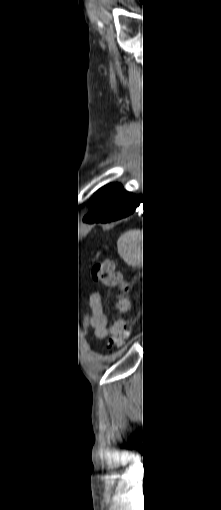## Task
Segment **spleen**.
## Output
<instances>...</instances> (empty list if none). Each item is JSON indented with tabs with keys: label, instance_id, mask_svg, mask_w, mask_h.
<instances>
[{
	"label": "spleen",
	"instance_id": "1",
	"mask_svg": "<svg viewBox=\"0 0 221 510\" xmlns=\"http://www.w3.org/2000/svg\"><path fill=\"white\" fill-rule=\"evenodd\" d=\"M117 246L126 262L137 263L142 252V232L136 229L126 231L119 237Z\"/></svg>",
	"mask_w": 221,
	"mask_h": 510
}]
</instances>
